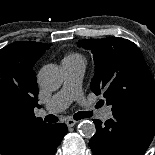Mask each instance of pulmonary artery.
Returning <instances> with one entry per match:
<instances>
[{
    "mask_svg": "<svg viewBox=\"0 0 155 155\" xmlns=\"http://www.w3.org/2000/svg\"><path fill=\"white\" fill-rule=\"evenodd\" d=\"M86 63L83 60L63 59L64 83L46 103L45 112L58 113L66 109L72 100L81 94V82L85 72ZM112 117V110L106 107L102 110L101 118L108 120Z\"/></svg>",
    "mask_w": 155,
    "mask_h": 155,
    "instance_id": "1",
    "label": "pulmonary artery"
}]
</instances>
